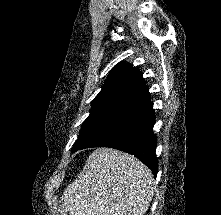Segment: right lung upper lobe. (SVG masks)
<instances>
[{"instance_id":"1","label":"right lung upper lobe","mask_w":221,"mask_h":215,"mask_svg":"<svg viewBox=\"0 0 221 215\" xmlns=\"http://www.w3.org/2000/svg\"><path fill=\"white\" fill-rule=\"evenodd\" d=\"M150 103L142 73L120 63L111 71L101 91L94 98L90 114H107L123 118Z\"/></svg>"}]
</instances>
